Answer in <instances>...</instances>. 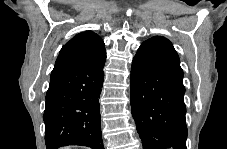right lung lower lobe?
Returning <instances> with one entry per match:
<instances>
[{"label": "right lung lower lobe", "mask_w": 227, "mask_h": 149, "mask_svg": "<svg viewBox=\"0 0 227 149\" xmlns=\"http://www.w3.org/2000/svg\"><path fill=\"white\" fill-rule=\"evenodd\" d=\"M105 60L50 79L43 115L47 149L66 145L104 149L99 97Z\"/></svg>", "instance_id": "obj_1"}]
</instances>
